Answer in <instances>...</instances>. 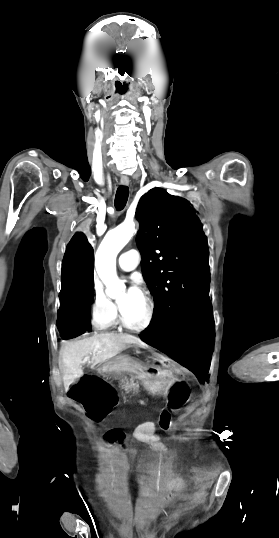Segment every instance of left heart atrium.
<instances>
[{"mask_svg": "<svg viewBox=\"0 0 279 538\" xmlns=\"http://www.w3.org/2000/svg\"><path fill=\"white\" fill-rule=\"evenodd\" d=\"M128 291H129L130 293H136V294L139 293V289L136 288V287H132V288H130Z\"/></svg>", "mask_w": 279, "mask_h": 538, "instance_id": "left-heart-atrium-1", "label": "left heart atrium"}]
</instances>
